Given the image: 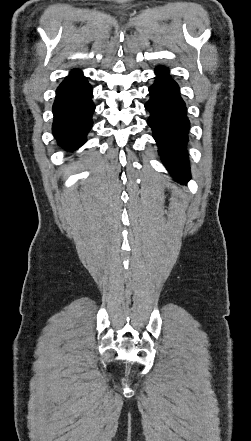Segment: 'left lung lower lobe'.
<instances>
[{"mask_svg":"<svg viewBox=\"0 0 251 441\" xmlns=\"http://www.w3.org/2000/svg\"><path fill=\"white\" fill-rule=\"evenodd\" d=\"M156 74V81L149 88L150 99L145 104L150 112L147 123L152 128L164 165L177 182L185 184L190 179L186 150L190 122L186 105L168 70L158 67Z\"/></svg>","mask_w":251,"mask_h":441,"instance_id":"1","label":"left lung lower lobe"}]
</instances>
